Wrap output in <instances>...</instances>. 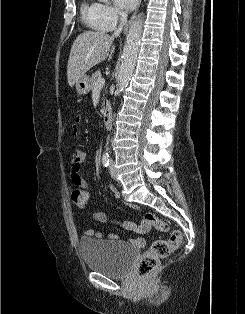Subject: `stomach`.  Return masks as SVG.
I'll return each mask as SVG.
<instances>
[{
    "mask_svg": "<svg viewBox=\"0 0 245 314\" xmlns=\"http://www.w3.org/2000/svg\"><path fill=\"white\" fill-rule=\"evenodd\" d=\"M76 91L79 95H85L90 91V81L87 75L81 76L76 82Z\"/></svg>",
    "mask_w": 245,
    "mask_h": 314,
    "instance_id": "obj_1",
    "label": "stomach"
}]
</instances>
